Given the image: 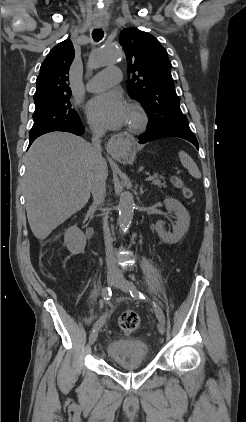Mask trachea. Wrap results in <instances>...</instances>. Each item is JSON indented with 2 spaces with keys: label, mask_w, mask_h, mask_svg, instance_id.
I'll return each instance as SVG.
<instances>
[{
  "label": "trachea",
  "mask_w": 246,
  "mask_h": 422,
  "mask_svg": "<svg viewBox=\"0 0 246 422\" xmlns=\"http://www.w3.org/2000/svg\"><path fill=\"white\" fill-rule=\"evenodd\" d=\"M92 37L95 42H99L104 37V31L102 29H94Z\"/></svg>",
  "instance_id": "1"
}]
</instances>
